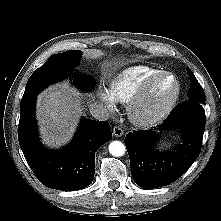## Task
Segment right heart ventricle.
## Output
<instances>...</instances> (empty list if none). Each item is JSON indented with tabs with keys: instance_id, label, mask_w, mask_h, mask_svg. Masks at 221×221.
Listing matches in <instances>:
<instances>
[{
	"instance_id": "e07e8e85",
	"label": "right heart ventricle",
	"mask_w": 221,
	"mask_h": 221,
	"mask_svg": "<svg viewBox=\"0 0 221 221\" xmlns=\"http://www.w3.org/2000/svg\"><path fill=\"white\" fill-rule=\"evenodd\" d=\"M160 69L146 65L128 67L118 73L109 84V93L115 102L128 104L142 83Z\"/></svg>"
}]
</instances>
